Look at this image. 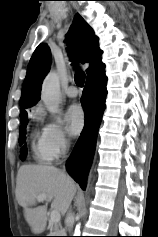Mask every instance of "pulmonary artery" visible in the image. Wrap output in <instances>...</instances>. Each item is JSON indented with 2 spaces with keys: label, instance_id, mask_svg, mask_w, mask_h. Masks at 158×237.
<instances>
[{
  "label": "pulmonary artery",
  "instance_id": "pulmonary-artery-1",
  "mask_svg": "<svg viewBox=\"0 0 158 237\" xmlns=\"http://www.w3.org/2000/svg\"><path fill=\"white\" fill-rule=\"evenodd\" d=\"M65 93L70 98L77 97V95H78V91L73 86L67 88Z\"/></svg>",
  "mask_w": 158,
  "mask_h": 237
}]
</instances>
